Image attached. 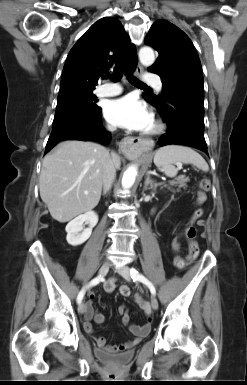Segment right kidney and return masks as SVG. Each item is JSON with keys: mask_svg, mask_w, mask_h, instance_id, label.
<instances>
[{"mask_svg": "<svg viewBox=\"0 0 247 385\" xmlns=\"http://www.w3.org/2000/svg\"><path fill=\"white\" fill-rule=\"evenodd\" d=\"M88 222L89 227L83 229V223ZM98 223V215L94 211H88L70 221L65 230L66 240L72 246L83 244L92 234L93 227Z\"/></svg>", "mask_w": 247, "mask_h": 385, "instance_id": "ca27d5eb", "label": "right kidney"}]
</instances>
